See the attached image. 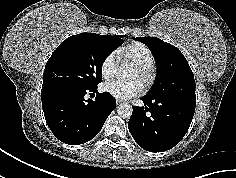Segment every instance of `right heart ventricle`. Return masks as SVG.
I'll return each mask as SVG.
<instances>
[{
    "mask_svg": "<svg viewBox=\"0 0 236 178\" xmlns=\"http://www.w3.org/2000/svg\"><path fill=\"white\" fill-rule=\"evenodd\" d=\"M118 61L122 63H143L154 66L155 57L152 51L143 43L133 42L123 46L117 52Z\"/></svg>",
    "mask_w": 236,
    "mask_h": 178,
    "instance_id": "obj_1",
    "label": "right heart ventricle"
}]
</instances>
